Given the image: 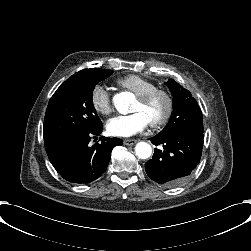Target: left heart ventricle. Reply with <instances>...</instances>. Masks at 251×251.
Masks as SVG:
<instances>
[{
    "label": "left heart ventricle",
    "instance_id": "b2bd125f",
    "mask_svg": "<svg viewBox=\"0 0 251 251\" xmlns=\"http://www.w3.org/2000/svg\"><path fill=\"white\" fill-rule=\"evenodd\" d=\"M134 109L145 111L152 120L163 115L166 110V100L161 95L156 96L150 103H144L140 99H137Z\"/></svg>",
    "mask_w": 251,
    "mask_h": 251
}]
</instances>
